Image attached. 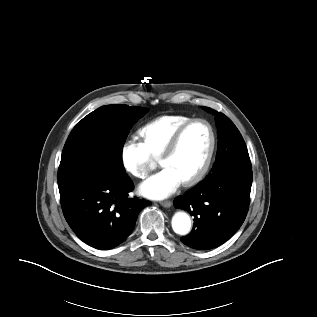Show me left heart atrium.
Returning a JSON list of instances; mask_svg holds the SVG:
<instances>
[{
    "label": "left heart atrium",
    "instance_id": "39dd6f15",
    "mask_svg": "<svg viewBox=\"0 0 317 317\" xmlns=\"http://www.w3.org/2000/svg\"><path fill=\"white\" fill-rule=\"evenodd\" d=\"M181 183L182 180L172 169L164 167L143 182L139 190L148 198L163 199L174 193Z\"/></svg>",
    "mask_w": 317,
    "mask_h": 317
}]
</instances>
